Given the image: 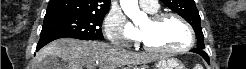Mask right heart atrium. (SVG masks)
I'll return each mask as SVG.
<instances>
[{"mask_svg":"<svg viewBox=\"0 0 246 69\" xmlns=\"http://www.w3.org/2000/svg\"><path fill=\"white\" fill-rule=\"evenodd\" d=\"M124 17L119 13H110L105 20V33L107 38L115 43H125L127 38L124 32Z\"/></svg>","mask_w":246,"mask_h":69,"instance_id":"right-heart-atrium-1","label":"right heart atrium"}]
</instances>
